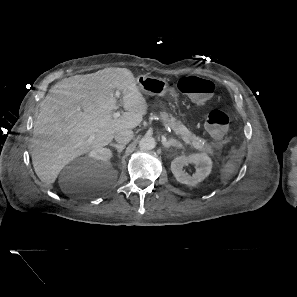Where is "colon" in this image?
Wrapping results in <instances>:
<instances>
[{"label": "colon", "mask_w": 297, "mask_h": 297, "mask_svg": "<svg viewBox=\"0 0 297 297\" xmlns=\"http://www.w3.org/2000/svg\"><path fill=\"white\" fill-rule=\"evenodd\" d=\"M179 90L197 100L209 99L215 90L214 84L207 79L195 76H186L178 82ZM229 118L220 110H212L206 119V127L209 133L216 139L222 140L226 137Z\"/></svg>", "instance_id": "obj_1"}]
</instances>
